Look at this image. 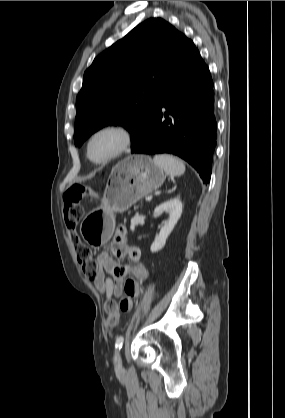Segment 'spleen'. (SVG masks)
<instances>
[{"mask_svg":"<svg viewBox=\"0 0 285 418\" xmlns=\"http://www.w3.org/2000/svg\"><path fill=\"white\" fill-rule=\"evenodd\" d=\"M155 165L163 169V171L170 176H181L185 172V165L182 160L168 155H155L153 159Z\"/></svg>","mask_w":285,"mask_h":418,"instance_id":"spleen-1","label":"spleen"}]
</instances>
